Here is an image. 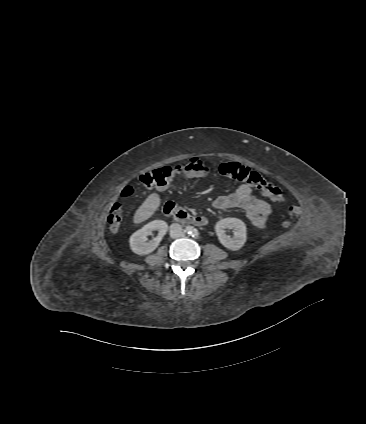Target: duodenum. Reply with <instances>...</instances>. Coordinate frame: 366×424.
I'll return each instance as SVG.
<instances>
[{
	"mask_svg": "<svg viewBox=\"0 0 366 424\" xmlns=\"http://www.w3.org/2000/svg\"><path fill=\"white\" fill-rule=\"evenodd\" d=\"M164 213L180 223L193 224L196 226H206L208 224V221L205 217L190 215L188 212L181 209L173 202H167L165 204Z\"/></svg>",
	"mask_w": 366,
	"mask_h": 424,
	"instance_id": "410a0bca",
	"label": "duodenum"
}]
</instances>
